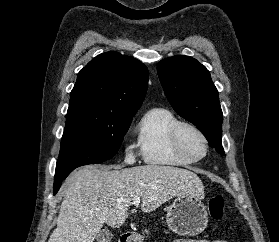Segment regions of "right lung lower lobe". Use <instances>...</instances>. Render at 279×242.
<instances>
[{"label": "right lung lower lobe", "mask_w": 279, "mask_h": 242, "mask_svg": "<svg viewBox=\"0 0 279 242\" xmlns=\"http://www.w3.org/2000/svg\"><path fill=\"white\" fill-rule=\"evenodd\" d=\"M66 178V177H65ZM64 179V178H63ZM63 179H59V180H57V181H54V187H53V194L55 195L57 192H58V190H59V188H60V186H61V183H62V180Z\"/></svg>", "instance_id": "obj_1"}]
</instances>
